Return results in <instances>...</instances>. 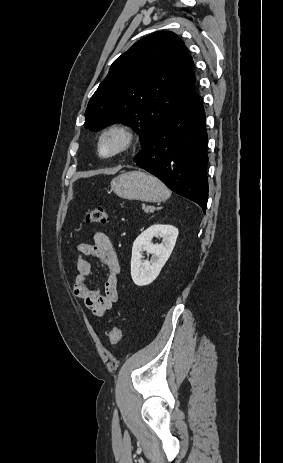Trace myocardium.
Segmentation results:
<instances>
[{"label": "myocardium", "mask_w": 283, "mask_h": 463, "mask_svg": "<svg viewBox=\"0 0 283 463\" xmlns=\"http://www.w3.org/2000/svg\"><path fill=\"white\" fill-rule=\"evenodd\" d=\"M118 137L117 146L108 153H102V145L109 137ZM136 140L134 129L125 122H114L105 127L97 137L96 150L98 155L104 159H110L122 155L129 151Z\"/></svg>", "instance_id": "1"}]
</instances>
